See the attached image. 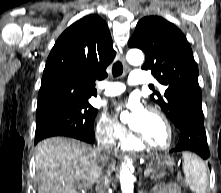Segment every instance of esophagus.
<instances>
[{"instance_id":"34e87169","label":"esophagus","mask_w":221,"mask_h":193,"mask_svg":"<svg viewBox=\"0 0 221 193\" xmlns=\"http://www.w3.org/2000/svg\"><path fill=\"white\" fill-rule=\"evenodd\" d=\"M120 60L125 67H127V62L123 53L120 54Z\"/></svg>"}]
</instances>
